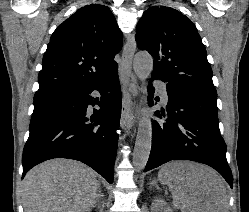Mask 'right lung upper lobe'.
Returning <instances> with one entry per match:
<instances>
[{
    "label": "right lung upper lobe",
    "instance_id": "right-lung-upper-lobe-1",
    "mask_svg": "<svg viewBox=\"0 0 249 212\" xmlns=\"http://www.w3.org/2000/svg\"><path fill=\"white\" fill-rule=\"evenodd\" d=\"M122 39L107 6L90 4L80 8L52 34L34 97L93 85L117 71L114 57L122 48Z\"/></svg>",
    "mask_w": 249,
    "mask_h": 212
}]
</instances>
